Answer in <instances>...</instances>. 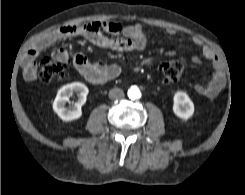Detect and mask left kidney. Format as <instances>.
<instances>
[{
  "mask_svg": "<svg viewBox=\"0 0 245 195\" xmlns=\"http://www.w3.org/2000/svg\"><path fill=\"white\" fill-rule=\"evenodd\" d=\"M173 100V112L177 117L187 120L194 114V104L187 93L178 91Z\"/></svg>",
  "mask_w": 245,
  "mask_h": 195,
  "instance_id": "5707ae66",
  "label": "left kidney"
}]
</instances>
